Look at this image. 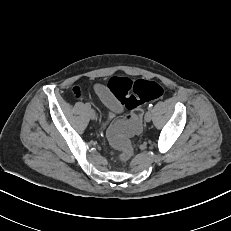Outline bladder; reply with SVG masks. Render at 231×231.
<instances>
[{"label":"bladder","mask_w":231,"mask_h":231,"mask_svg":"<svg viewBox=\"0 0 231 231\" xmlns=\"http://www.w3.org/2000/svg\"><path fill=\"white\" fill-rule=\"evenodd\" d=\"M111 122L110 121H107V122H104L103 124L105 125V126H107V125H109Z\"/></svg>","instance_id":"obj_1"}]
</instances>
